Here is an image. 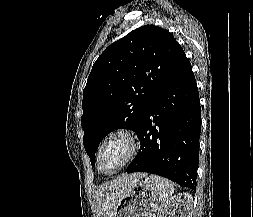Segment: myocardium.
Listing matches in <instances>:
<instances>
[{
	"label": "myocardium",
	"mask_w": 253,
	"mask_h": 217,
	"mask_svg": "<svg viewBox=\"0 0 253 217\" xmlns=\"http://www.w3.org/2000/svg\"><path fill=\"white\" fill-rule=\"evenodd\" d=\"M123 140L127 146V152L121 163L111 172L104 173L100 169V158L105 147L114 140ZM139 151V140L136 133L128 128H118L111 131L105 138L101 141L98 146L95 158V166L97 171L104 176H112L122 170L126 165H128L138 154Z\"/></svg>",
	"instance_id": "1"
}]
</instances>
